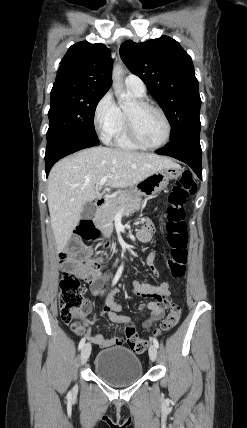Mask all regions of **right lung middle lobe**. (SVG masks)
<instances>
[{
    "instance_id": "right-lung-middle-lobe-1",
    "label": "right lung middle lobe",
    "mask_w": 247,
    "mask_h": 428,
    "mask_svg": "<svg viewBox=\"0 0 247 428\" xmlns=\"http://www.w3.org/2000/svg\"><path fill=\"white\" fill-rule=\"evenodd\" d=\"M105 93L67 90L51 94L47 140L61 135L97 139L94 113Z\"/></svg>"
}]
</instances>
